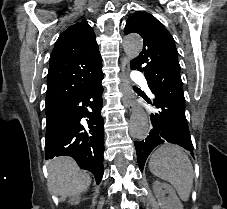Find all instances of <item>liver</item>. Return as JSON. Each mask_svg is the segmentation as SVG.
<instances>
[{
	"label": "liver",
	"mask_w": 227,
	"mask_h": 209,
	"mask_svg": "<svg viewBox=\"0 0 227 209\" xmlns=\"http://www.w3.org/2000/svg\"><path fill=\"white\" fill-rule=\"evenodd\" d=\"M91 177L82 173L70 157H57L49 161L48 189L52 195L75 197L91 185Z\"/></svg>",
	"instance_id": "obj_1"
}]
</instances>
